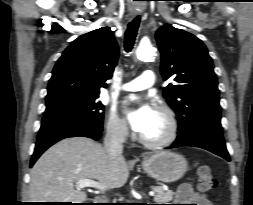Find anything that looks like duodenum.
Returning a JSON list of instances; mask_svg holds the SVG:
<instances>
[{
  "mask_svg": "<svg viewBox=\"0 0 253 205\" xmlns=\"http://www.w3.org/2000/svg\"><path fill=\"white\" fill-rule=\"evenodd\" d=\"M93 201H94L95 203L99 204V203L102 201V199L99 198V197H95V198L93 199Z\"/></svg>",
  "mask_w": 253,
  "mask_h": 205,
  "instance_id": "obj_1",
  "label": "duodenum"
}]
</instances>
